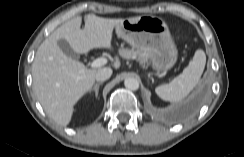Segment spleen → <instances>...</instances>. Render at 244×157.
Returning a JSON list of instances; mask_svg holds the SVG:
<instances>
[{"instance_id": "1", "label": "spleen", "mask_w": 244, "mask_h": 157, "mask_svg": "<svg viewBox=\"0 0 244 157\" xmlns=\"http://www.w3.org/2000/svg\"><path fill=\"white\" fill-rule=\"evenodd\" d=\"M206 55L203 50H196L190 64L169 84L156 87V94L165 101L178 102L185 98L197 85L204 71Z\"/></svg>"}]
</instances>
